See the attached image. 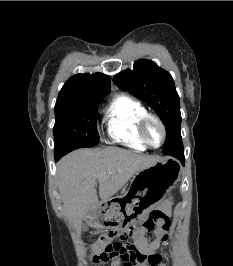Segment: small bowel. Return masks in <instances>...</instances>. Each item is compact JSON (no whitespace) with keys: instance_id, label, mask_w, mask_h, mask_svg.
<instances>
[{"instance_id":"1","label":"small bowel","mask_w":233,"mask_h":266,"mask_svg":"<svg viewBox=\"0 0 233 266\" xmlns=\"http://www.w3.org/2000/svg\"><path fill=\"white\" fill-rule=\"evenodd\" d=\"M172 205L170 201H167L163 204L161 211H163L168 217L171 213ZM170 226V224H169ZM163 228L161 224H157L153 230L155 239L149 241L145 233L146 231L142 228H136L133 232L132 238L135 243L136 249L139 253L146 257L145 261L142 264L137 266H146L145 263H148L150 266H163L161 264L162 255L159 254V250L164 247L167 243L168 235L167 231L169 229ZM105 242L98 241L92 247L93 261L94 262H109V266H124L123 262L120 259H108L104 257ZM156 259L154 262L150 263L149 259Z\"/></svg>"}]
</instances>
